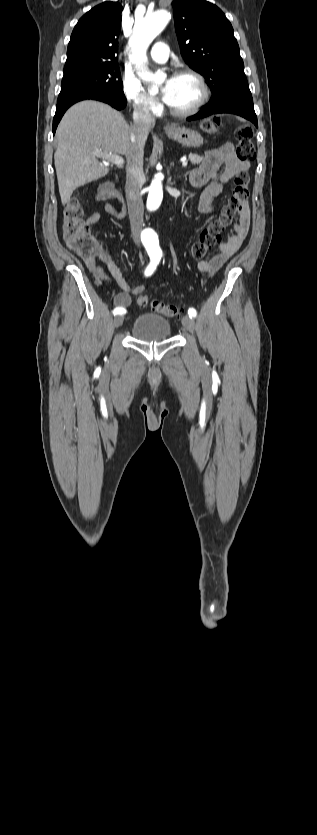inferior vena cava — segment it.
Returning <instances> with one entry per match:
<instances>
[{"label":"inferior vena cava","mask_w":317,"mask_h":835,"mask_svg":"<svg viewBox=\"0 0 317 835\" xmlns=\"http://www.w3.org/2000/svg\"><path fill=\"white\" fill-rule=\"evenodd\" d=\"M155 125V118L148 107L141 104L134 105L133 125L131 126V147L127 155L126 166V200L134 242L140 244V233L143 227L144 205L141 189L144 183L143 156L144 145L149 131Z\"/></svg>","instance_id":"602c4592"}]
</instances>
